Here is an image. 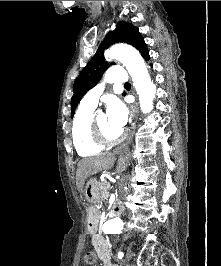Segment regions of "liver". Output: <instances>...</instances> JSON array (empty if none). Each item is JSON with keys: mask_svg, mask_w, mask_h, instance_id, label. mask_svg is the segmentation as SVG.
I'll use <instances>...</instances> for the list:
<instances>
[{"mask_svg": "<svg viewBox=\"0 0 221 266\" xmlns=\"http://www.w3.org/2000/svg\"><path fill=\"white\" fill-rule=\"evenodd\" d=\"M116 152L102 153L94 157L81 159L78 162L76 171V187L79 192L83 191L85 180L94 174L113 167L116 160ZM127 157L120 153L117 165V172L121 173L127 166Z\"/></svg>", "mask_w": 221, "mask_h": 266, "instance_id": "obj_1", "label": "liver"}]
</instances>
